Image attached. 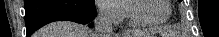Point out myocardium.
Masks as SVG:
<instances>
[{
  "instance_id": "myocardium-1",
  "label": "myocardium",
  "mask_w": 219,
  "mask_h": 37,
  "mask_svg": "<svg viewBox=\"0 0 219 37\" xmlns=\"http://www.w3.org/2000/svg\"><path fill=\"white\" fill-rule=\"evenodd\" d=\"M139 1H143V0H130L127 2L128 15H129L131 23L134 26L151 27V28L160 27L168 21V19L170 18L171 14H172L171 1L163 0L164 4L168 10L167 15L163 19L158 20V21H146V20L139 19L134 13V3L139 2Z\"/></svg>"
}]
</instances>
